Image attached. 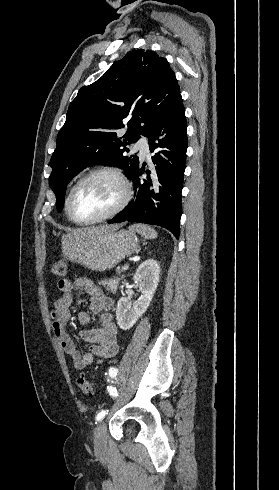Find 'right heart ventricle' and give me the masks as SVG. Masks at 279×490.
I'll return each mask as SVG.
<instances>
[{"label":"right heart ventricle","instance_id":"obj_1","mask_svg":"<svg viewBox=\"0 0 279 490\" xmlns=\"http://www.w3.org/2000/svg\"><path fill=\"white\" fill-rule=\"evenodd\" d=\"M72 186H73V183H71L69 185V187L66 191L65 200H64V214L69 221H72V218H71L70 213H69V199H70V193H71Z\"/></svg>","mask_w":279,"mask_h":490}]
</instances>
